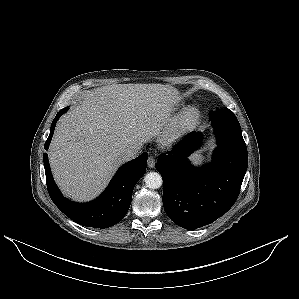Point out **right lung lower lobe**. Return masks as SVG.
<instances>
[{
	"instance_id": "98d812e1",
	"label": "right lung lower lobe",
	"mask_w": 299,
	"mask_h": 299,
	"mask_svg": "<svg viewBox=\"0 0 299 299\" xmlns=\"http://www.w3.org/2000/svg\"><path fill=\"white\" fill-rule=\"evenodd\" d=\"M68 109V107L63 108L54 118L49 137L44 145L46 150L52 139L56 122ZM43 162L48 192L54 204L80 225L105 229L119 223L126 215L130 207L133 188L146 171L147 154L144 152L121 166L105 191L89 203H75L63 197L53 180L47 153L43 154Z\"/></svg>"
}]
</instances>
